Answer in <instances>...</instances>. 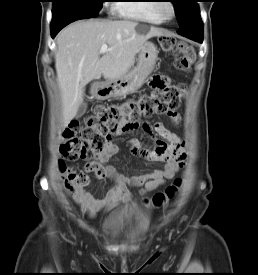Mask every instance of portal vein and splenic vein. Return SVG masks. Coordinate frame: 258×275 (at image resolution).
Wrapping results in <instances>:
<instances>
[{"label":"portal vein and splenic vein","mask_w":258,"mask_h":275,"mask_svg":"<svg viewBox=\"0 0 258 275\" xmlns=\"http://www.w3.org/2000/svg\"><path fill=\"white\" fill-rule=\"evenodd\" d=\"M109 50L108 45L104 44L101 46L100 48V54H104L105 52H107Z\"/></svg>","instance_id":"18ae733b"}]
</instances>
